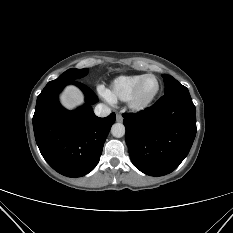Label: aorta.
Returning <instances> with one entry per match:
<instances>
[{"label":"aorta","mask_w":233,"mask_h":233,"mask_svg":"<svg viewBox=\"0 0 233 233\" xmlns=\"http://www.w3.org/2000/svg\"><path fill=\"white\" fill-rule=\"evenodd\" d=\"M111 134L116 138L123 137L125 135V126L122 123H115L111 128Z\"/></svg>","instance_id":"aorta-1"}]
</instances>
